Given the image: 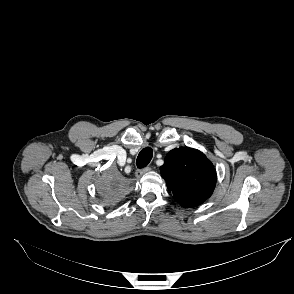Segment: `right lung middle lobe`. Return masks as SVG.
I'll return each mask as SVG.
<instances>
[{"instance_id": "right-lung-middle-lobe-1", "label": "right lung middle lobe", "mask_w": 294, "mask_h": 294, "mask_svg": "<svg viewBox=\"0 0 294 294\" xmlns=\"http://www.w3.org/2000/svg\"><path fill=\"white\" fill-rule=\"evenodd\" d=\"M123 184L121 180L113 175L104 177L98 183L100 202L105 205L114 204L123 194Z\"/></svg>"}]
</instances>
